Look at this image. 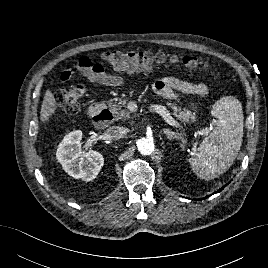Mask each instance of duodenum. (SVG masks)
Instances as JSON below:
<instances>
[{"mask_svg":"<svg viewBox=\"0 0 268 268\" xmlns=\"http://www.w3.org/2000/svg\"><path fill=\"white\" fill-rule=\"evenodd\" d=\"M89 112L94 119L95 125L99 128H107L113 122V114L102 103L93 104Z\"/></svg>","mask_w":268,"mask_h":268,"instance_id":"1","label":"duodenum"}]
</instances>
